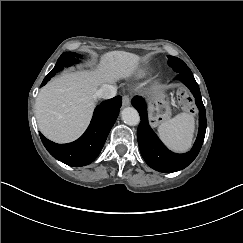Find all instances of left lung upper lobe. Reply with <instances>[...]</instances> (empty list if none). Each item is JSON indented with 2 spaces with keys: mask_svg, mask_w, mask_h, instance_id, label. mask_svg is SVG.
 Instances as JSON below:
<instances>
[{
  "mask_svg": "<svg viewBox=\"0 0 243 243\" xmlns=\"http://www.w3.org/2000/svg\"><path fill=\"white\" fill-rule=\"evenodd\" d=\"M167 57L169 66L172 67L175 72H191V70L184 61L170 55H168Z\"/></svg>",
  "mask_w": 243,
  "mask_h": 243,
  "instance_id": "1",
  "label": "left lung upper lobe"
}]
</instances>
